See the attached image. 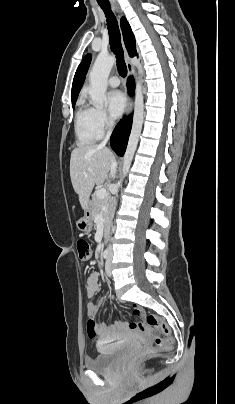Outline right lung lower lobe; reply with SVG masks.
I'll list each match as a JSON object with an SVG mask.
<instances>
[{"instance_id": "right-lung-lower-lobe-1", "label": "right lung lower lobe", "mask_w": 235, "mask_h": 404, "mask_svg": "<svg viewBox=\"0 0 235 404\" xmlns=\"http://www.w3.org/2000/svg\"><path fill=\"white\" fill-rule=\"evenodd\" d=\"M127 86L129 92L132 93L134 91V81L132 77L128 79ZM131 125H132V117L130 116L127 119L121 120L112 133L111 146L112 149L119 156H123L125 153L128 137L131 130Z\"/></svg>"}]
</instances>
